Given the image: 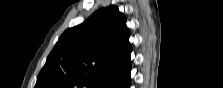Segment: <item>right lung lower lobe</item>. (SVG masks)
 Listing matches in <instances>:
<instances>
[{"label": "right lung lower lobe", "instance_id": "right-lung-lower-lobe-1", "mask_svg": "<svg viewBox=\"0 0 223 88\" xmlns=\"http://www.w3.org/2000/svg\"><path fill=\"white\" fill-rule=\"evenodd\" d=\"M130 82H131V79L126 84H124L121 88H130Z\"/></svg>", "mask_w": 223, "mask_h": 88}]
</instances>
